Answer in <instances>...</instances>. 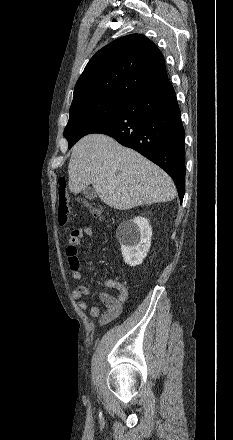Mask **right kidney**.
<instances>
[{
  "label": "right kidney",
  "mask_w": 233,
  "mask_h": 440,
  "mask_svg": "<svg viewBox=\"0 0 233 440\" xmlns=\"http://www.w3.org/2000/svg\"><path fill=\"white\" fill-rule=\"evenodd\" d=\"M152 228L143 217L124 221L117 229L123 259L129 266L142 264L151 246Z\"/></svg>",
  "instance_id": "ca27d5eb"
}]
</instances>
